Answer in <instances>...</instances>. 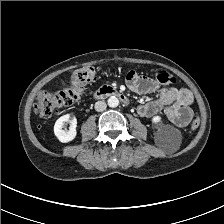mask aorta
<instances>
[{
  "label": "aorta",
  "mask_w": 224,
  "mask_h": 224,
  "mask_svg": "<svg viewBox=\"0 0 224 224\" xmlns=\"http://www.w3.org/2000/svg\"><path fill=\"white\" fill-rule=\"evenodd\" d=\"M107 102H108V106L111 108H115L119 105V99L115 96H111Z\"/></svg>",
  "instance_id": "762f6f07"
}]
</instances>
